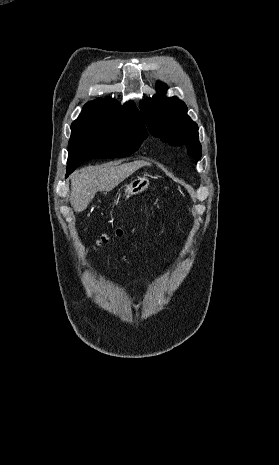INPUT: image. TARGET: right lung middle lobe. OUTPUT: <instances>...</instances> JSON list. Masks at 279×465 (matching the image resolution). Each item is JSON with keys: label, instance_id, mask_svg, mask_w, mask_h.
<instances>
[{"label": "right lung middle lobe", "instance_id": "obj_1", "mask_svg": "<svg viewBox=\"0 0 279 465\" xmlns=\"http://www.w3.org/2000/svg\"><path fill=\"white\" fill-rule=\"evenodd\" d=\"M147 134L129 124H101L72 129L68 144L67 172L93 158L127 157L134 153Z\"/></svg>", "mask_w": 279, "mask_h": 465}]
</instances>
